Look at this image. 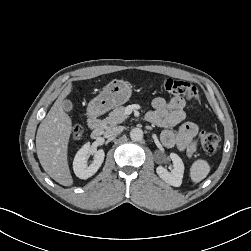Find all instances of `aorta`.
<instances>
[{
    "instance_id": "1",
    "label": "aorta",
    "mask_w": 251,
    "mask_h": 251,
    "mask_svg": "<svg viewBox=\"0 0 251 251\" xmlns=\"http://www.w3.org/2000/svg\"><path fill=\"white\" fill-rule=\"evenodd\" d=\"M130 138L133 141H140L143 138V131L140 128H133L130 131Z\"/></svg>"
}]
</instances>
